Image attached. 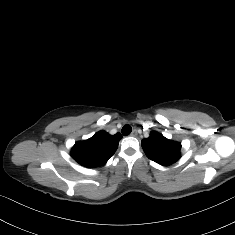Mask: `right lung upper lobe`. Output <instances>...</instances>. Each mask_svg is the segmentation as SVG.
I'll return each mask as SVG.
<instances>
[{
  "label": "right lung upper lobe",
  "mask_w": 235,
  "mask_h": 235,
  "mask_svg": "<svg viewBox=\"0 0 235 235\" xmlns=\"http://www.w3.org/2000/svg\"><path fill=\"white\" fill-rule=\"evenodd\" d=\"M121 138L120 133L110 135L106 131H99L85 141L76 142L71 150V156L87 168L103 166L115 153Z\"/></svg>",
  "instance_id": "obj_1"
}]
</instances>
